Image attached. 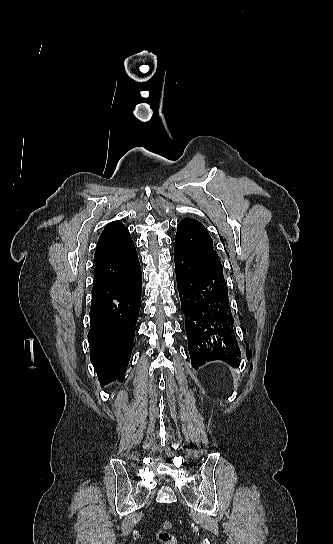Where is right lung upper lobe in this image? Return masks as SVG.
I'll return each mask as SVG.
<instances>
[{
    "label": "right lung upper lobe",
    "instance_id": "obj_1",
    "mask_svg": "<svg viewBox=\"0 0 333 544\" xmlns=\"http://www.w3.org/2000/svg\"><path fill=\"white\" fill-rule=\"evenodd\" d=\"M94 261L92 292L117 281L138 263L134 243L122 222L114 221L104 228L98 240Z\"/></svg>",
    "mask_w": 333,
    "mask_h": 544
}]
</instances>
